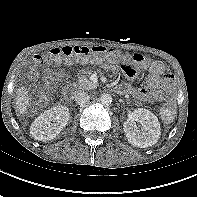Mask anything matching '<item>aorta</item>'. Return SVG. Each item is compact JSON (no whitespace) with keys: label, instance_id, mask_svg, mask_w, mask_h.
<instances>
[{"label":"aorta","instance_id":"aorta-1","mask_svg":"<svg viewBox=\"0 0 197 197\" xmlns=\"http://www.w3.org/2000/svg\"><path fill=\"white\" fill-rule=\"evenodd\" d=\"M100 102L101 104H103L104 106H108L111 104L112 102V97L110 94H102L100 97Z\"/></svg>","mask_w":197,"mask_h":197}]
</instances>
